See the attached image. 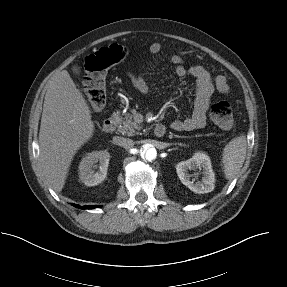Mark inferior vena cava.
<instances>
[{
  "label": "inferior vena cava",
  "instance_id": "inferior-vena-cava-1",
  "mask_svg": "<svg viewBox=\"0 0 287 287\" xmlns=\"http://www.w3.org/2000/svg\"><path fill=\"white\" fill-rule=\"evenodd\" d=\"M114 143L125 149H130L134 146V142L132 139L119 137V136L114 137Z\"/></svg>",
  "mask_w": 287,
  "mask_h": 287
}]
</instances>
